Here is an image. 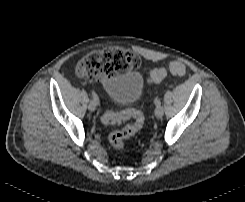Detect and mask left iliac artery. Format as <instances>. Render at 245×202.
Returning <instances> with one entry per match:
<instances>
[{
	"label": "left iliac artery",
	"mask_w": 245,
	"mask_h": 202,
	"mask_svg": "<svg viewBox=\"0 0 245 202\" xmlns=\"http://www.w3.org/2000/svg\"><path fill=\"white\" fill-rule=\"evenodd\" d=\"M154 104H155L156 106H160V105H161L160 99L155 98V99H154Z\"/></svg>",
	"instance_id": "1"
}]
</instances>
